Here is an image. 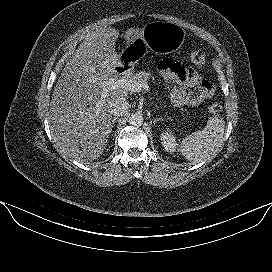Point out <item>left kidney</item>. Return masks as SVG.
<instances>
[{
	"instance_id": "1",
	"label": "left kidney",
	"mask_w": 272,
	"mask_h": 272,
	"mask_svg": "<svg viewBox=\"0 0 272 272\" xmlns=\"http://www.w3.org/2000/svg\"><path fill=\"white\" fill-rule=\"evenodd\" d=\"M160 140H161L162 146L165 148L166 151L170 153L174 152L176 143H175V136L173 135L171 131H168V130L163 131L160 135Z\"/></svg>"
}]
</instances>
